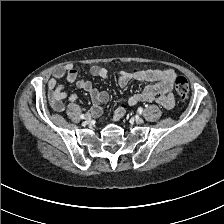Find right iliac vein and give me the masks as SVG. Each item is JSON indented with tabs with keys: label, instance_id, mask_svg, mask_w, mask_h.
Segmentation results:
<instances>
[{
	"label": "right iliac vein",
	"instance_id": "63e3f726",
	"mask_svg": "<svg viewBox=\"0 0 224 224\" xmlns=\"http://www.w3.org/2000/svg\"><path fill=\"white\" fill-rule=\"evenodd\" d=\"M90 118H91L90 114H86L85 119L90 120Z\"/></svg>",
	"mask_w": 224,
	"mask_h": 224
}]
</instances>
